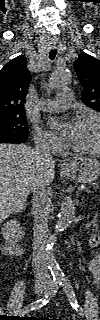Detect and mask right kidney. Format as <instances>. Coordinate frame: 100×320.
Returning a JSON list of instances; mask_svg holds the SVG:
<instances>
[{
  "label": "right kidney",
  "instance_id": "obj_1",
  "mask_svg": "<svg viewBox=\"0 0 100 320\" xmlns=\"http://www.w3.org/2000/svg\"><path fill=\"white\" fill-rule=\"evenodd\" d=\"M25 235L20 224L14 219L7 221L2 227V236L5 240V251L13 253L17 248L15 244Z\"/></svg>",
  "mask_w": 100,
  "mask_h": 320
}]
</instances>
